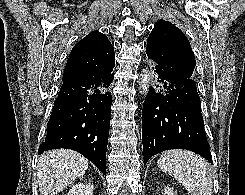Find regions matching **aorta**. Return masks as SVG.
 Here are the masks:
<instances>
[{
	"label": "aorta",
	"instance_id": "1",
	"mask_svg": "<svg viewBox=\"0 0 245 195\" xmlns=\"http://www.w3.org/2000/svg\"><path fill=\"white\" fill-rule=\"evenodd\" d=\"M149 82H150V72L145 70L143 71L139 79V89L141 94L143 95L147 94V91L149 89Z\"/></svg>",
	"mask_w": 245,
	"mask_h": 195
}]
</instances>
